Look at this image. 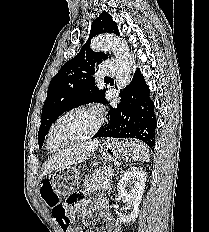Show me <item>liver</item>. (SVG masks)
<instances>
[{
  "instance_id": "6515ba94",
  "label": "liver",
  "mask_w": 209,
  "mask_h": 232,
  "mask_svg": "<svg viewBox=\"0 0 209 232\" xmlns=\"http://www.w3.org/2000/svg\"><path fill=\"white\" fill-rule=\"evenodd\" d=\"M99 145L100 141L94 140L73 145L62 150L48 160L44 166L41 177L51 173L52 171L69 167L87 160Z\"/></svg>"
}]
</instances>
